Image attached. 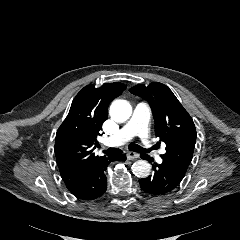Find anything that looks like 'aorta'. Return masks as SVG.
<instances>
[{"instance_id": "1", "label": "aorta", "mask_w": 240, "mask_h": 240, "mask_svg": "<svg viewBox=\"0 0 240 240\" xmlns=\"http://www.w3.org/2000/svg\"><path fill=\"white\" fill-rule=\"evenodd\" d=\"M110 116L117 122H125L132 114V107L126 100H115L109 110ZM135 176L145 178L150 175L151 165L146 160H138L132 165Z\"/></svg>"}]
</instances>
